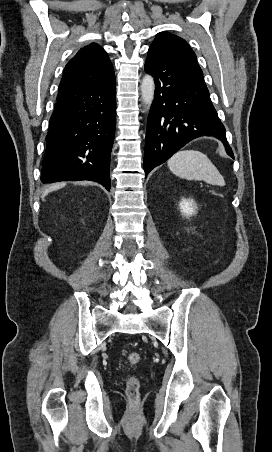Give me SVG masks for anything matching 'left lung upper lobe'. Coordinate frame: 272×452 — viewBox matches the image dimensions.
<instances>
[{
	"label": "left lung upper lobe",
	"mask_w": 272,
	"mask_h": 452,
	"mask_svg": "<svg viewBox=\"0 0 272 452\" xmlns=\"http://www.w3.org/2000/svg\"><path fill=\"white\" fill-rule=\"evenodd\" d=\"M149 49H157L171 56L177 57L202 72L197 63L195 53L184 39L176 35H172L168 32L160 33L155 38Z\"/></svg>",
	"instance_id": "left-lung-upper-lobe-1"
}]
</instances>
